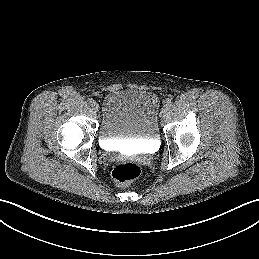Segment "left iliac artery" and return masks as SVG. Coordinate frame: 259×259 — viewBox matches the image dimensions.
<instances>
[{
	"instance_id": "left-iliac-artery-1",
	"label": "left iliac artery",
	"mask_w": 259,
	"mask_h": 259,
	"mask_svg": "<svg viewBox=\"0 0 259 259\" xmlns=\"http://www.w3.org/2000/svg\"><path fill=\"white\" fill-rule=\"evenodd\" d=\"M165 106L168 107V108L171 107L172 106V101L171 100H167Z\"/></svg>"
}]
</instances>
